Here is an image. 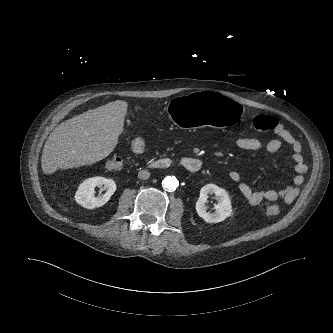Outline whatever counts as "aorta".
I'll return each instance as SVG.
<instances>
[{"mask_svg": "<svg viewBox=\"0 0 333 333\" xmlns=\"http://www.w3.org/2000/svg\"><path fill=\"white\" fill-rule=\"evenodd\" d=\"M163 187L168 190H174L178 186V181L175 177L168 176L163 180Z\"/></svg>", "mask_w": 333, "mask_h": 333, "instance_id": "obj_1", "label": "aorta"}]
</instances>
